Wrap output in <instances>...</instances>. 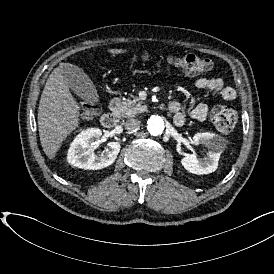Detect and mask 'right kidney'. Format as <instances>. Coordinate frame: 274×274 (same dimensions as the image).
Instances as JSON below:
<instances>
[{"instance_id": "obj_1", "label": "right kidney", "mask_w": 274, "mask_h": 274, "mask_svg": "<svg viewBox=\"0 0 274 274\" xmlns=\"http://www.w3.org/2000/svg\"><path fill=\"white\" fill-rule=\"evenodd\" d=\"M102 131L99 128H89L82 131L71 143L67 160L77 168L85 170H100L113 164L121 150L119 141L107 143L105 154H94L93 143L100 139Z\"/></svg>"}]
</instances>
